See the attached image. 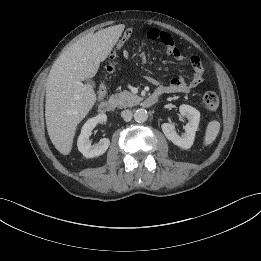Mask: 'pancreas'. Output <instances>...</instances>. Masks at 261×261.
Listing matches in <instances>:
<instances>
[{
    "instance_id": "cf45deb5",
    "label": "pancreas",
    "mask_w": 261,
    "mask_h": 261,
    "mask_svg": "<svg viewBox=\"0 0 261 261\" xmlns=\"http://www.w3.org/2000/svg\"><path fill=\"white\" fill-rule=\"evenodd\" d=\"M110 100L113 101L118 108H126L136 105L141 98L128 91H121L111 95Z\"/></svg>"
}]
</instances>
